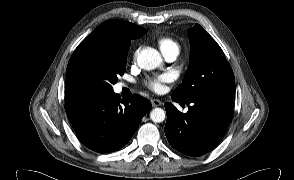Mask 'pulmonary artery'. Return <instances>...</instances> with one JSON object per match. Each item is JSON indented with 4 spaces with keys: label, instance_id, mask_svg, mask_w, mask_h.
Returning <instances> with one entry per match:
<instances>
[{
    "label": "pulmonary artery",
    "instance_id": "e3ab8cb5",
    "mask_svg": "<svg viewBox=\"0 0 294 180\" xmlns=\"http://www.w3.org/2000/svg\"><path fill=\"white\" fill-rule=\"evenodd\" d=\"M178 53L179 52H177V51H171V52L166 53L163 56L167 62H173L176 60Z\"/></svg>",
    "mask_w": 294,
    "mask_h": 180
}]
</instances>
